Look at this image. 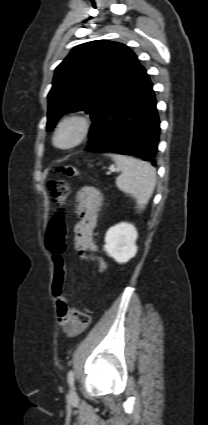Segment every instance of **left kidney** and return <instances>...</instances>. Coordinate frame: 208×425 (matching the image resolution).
<instances>
[{"mask_svg":"<svg viewBox=\"0 0 208 425\" xmlns=\"http://www.w3.org/2000/svg\"><path fill=\"white\" fill-rule=\"evenodd\" d=\"M138 233L134 225L121 222L108 229L104 249L118 263H126L137 253Z\"/></svg>","mask_w":208,"mask_h":425,"instance_id":"obj_1","label":"left kidney"}]
</instances>
